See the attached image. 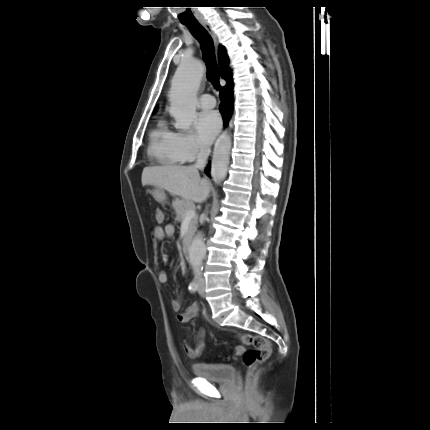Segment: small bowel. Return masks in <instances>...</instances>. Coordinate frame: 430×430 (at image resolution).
Returning a JSON list of instances; mask_svg holds the SVG:
<instances>
[{
  "label": "small bowel",
  "instance_id": "obj_1",
  "mask_svg": "<svg viewBox=\"0 0 430 430\" xmlns=\"http://www.w3.org/2000/svg\"><path fill=\"white\" fill-rule=\"evenodd\" d=\"M174 226L171 224L166 225L164 228L160 226H156L153 229L152 235L156 240H163L164 238H171L174 235ZM158 280L160 283L165 284L168 282V274L166 271L162 270L158 274ZM172 309L175 312H178L181 308V301L179 299L172 300L171 302ZM199 312V305L197 303L191 304L186 310L177 316V320L180 323H188L192 319H194ZM204 331L201 329L195 339V343L192 345L188 342H185L183 345L184 351L189 358L195 359L198 358L203 349H204Z\"/></svg>",
  "mask_w": 430,
  "mask_h": 430
}]
</instances>
